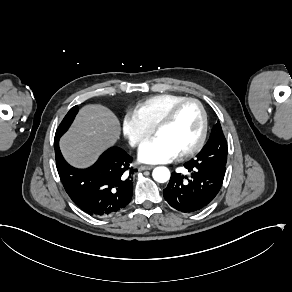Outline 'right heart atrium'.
<instances>
[{
  "instance_id": "d8ad5b80",
  "label": "right heart atrium",
  "mask_w": 292,
  "mask_h": 292,
  "mask_svg": "<svg viewBox=\"0 0 292 292\" xmlns=\"http://www.w3.org/2000/svg\"><path fill=\"white\" fill-rule=\"evenodd\" d=\"M123 135L131 145H141L152 133L150 128L134 110H126L123 114Z\"/></svg>"
}]
</instances>
